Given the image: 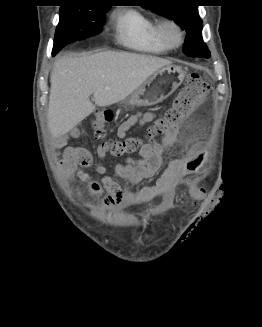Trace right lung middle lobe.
I'll list each match as a JSON object with an SVG mask.
<instances>
[{
    "instance_id": "dd1d6c3e",
    "label": "right lung middle lobe",
    "mask_w": 262,
    "mask_h": 327,
    "mask_svg": "<svg viewBox=\"0 0 262 327\" xmlns=\"http://www.w3.org/2000/svg\"><path fill=\"white\" fill-rule=\"evenodd\" d=\"M109 6L92 3H72L61 6L52 54L76 40L102 32L104 14Z\"/></svg>"
}]
</instances>
